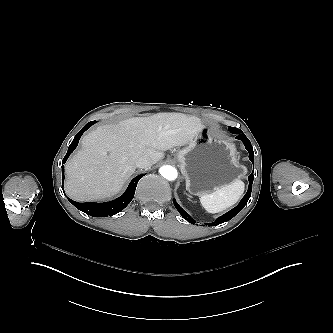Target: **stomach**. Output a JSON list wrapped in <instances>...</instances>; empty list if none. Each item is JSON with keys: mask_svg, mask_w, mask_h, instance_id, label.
I'll use <instances>...</instances> for the list:
<instances>
[{"mask_svg": "<svg viewBox=\"0 0 333 333\" xmlns=\"http://www.w3.org/2000/svg\"><path fill=\"white\" fill-rule=\"evenodd\" d=\"M192 195L202 196L226 186L246 174L238 160L233 143L212 136L209 127L203 130L175 155Z\"/></svg>", "mask_w": 333, "mask_h": 333, "instance_id": "0dacf381", "label": "stomach"}]
</instances>
